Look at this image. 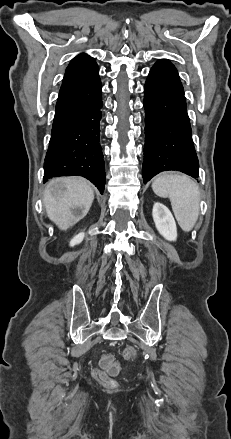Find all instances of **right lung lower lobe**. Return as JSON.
<instances>
[{"instance_id":"obj_1","label":"right lung lower lobe","mask_w":231,"mask_h":439,"mask_svg":"<svg viewBox=\"0 0 231 439\" xmlns=\"http://www.w3.org/2000/svg\"><path fill=\"white\" fill-rule=\"evenodd\" d=\"M101 88L97 75L59 94L44 162V180L80 175L103 194L106 177L100 146Z\"/></svg>"}]
</instances>
